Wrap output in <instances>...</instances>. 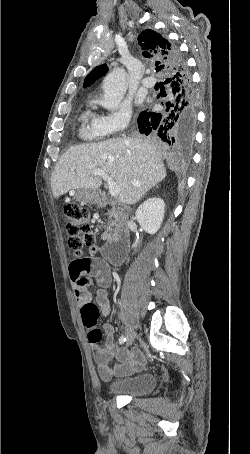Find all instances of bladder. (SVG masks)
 I'll use <instances>...</instances> for the list:
<instances>
[{"mask_svg":"<svg viewBox=\"0 0 250 454\" xmlns=\"http://www.w3.org/2000/svg\"><path fill=\"white\" fill-rule=\"evenodd\" d=\"M156 386L157 376L149 371L112 380L107 385V391L113 396L140 397L153 392Z\"/></svg>","mask_w":250,"mask_h":454,"instance_id":"31cf9c89","label":"bladder"}]
</instances>
